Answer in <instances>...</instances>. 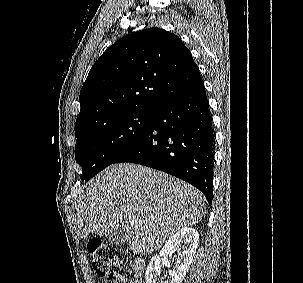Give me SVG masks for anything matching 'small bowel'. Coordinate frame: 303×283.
Listing matches in <instances>:
<instances>
[{
  "instance_id": "1",
  "label": "small bowel",
  "mask_w": 303,
  "mask_h": 283,
  "mask_svg": "<svg viewBox=\"0 0 303 283\" xmlns=\"http://www.w3.org/2000/svg\"><path fill=\"white\" fill-rule=\"evenodd\" d=\"M128 272L130 274H132L135 277V280L133 283H141L139 276L142 273V267L138 265V263L136 265H132L129 269ZM113 278L121 283H126L127 282V278L122 275L121 273H119L117 271V269L114 270L113 272ZM104 283H108L107 281H105Z\"/></svg>"
}]
</instances>
